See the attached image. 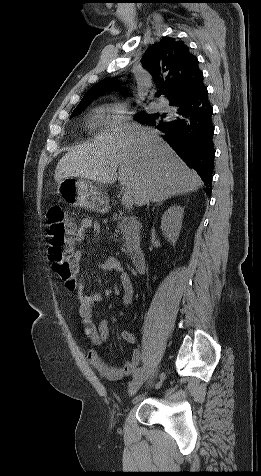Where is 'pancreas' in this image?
I'll return each mask as SVG.
<instances>
[{"instance_id":"cf45deb5","label":"pancreas","mask_w":261,"mask_h":476,"mask_svg":"<svg viewBox=\"0 0 261 476\" xmlns=\"http://www.w3.org/2000/svg\"><path fill=\"white\" fill-rule=\"evenodd\" d=\"M113 220L118 221L117 228L119 229L122 238L121 250L127 255H131L140 240V223L136 218L131 216H122L115 213Z\"/></svg>"}]
</instances>
